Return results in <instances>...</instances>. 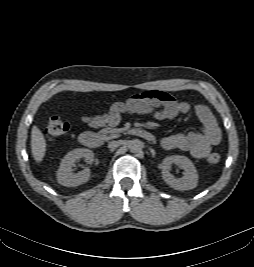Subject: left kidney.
<instances>
[{
	"label": "left kidney",
	"mask_w": 254,
	"mask_h": 267,
	"mask_svg": "<svg viewBox=\"0 0 254 267\" xmlns=\"http://www.w3.org/2000/svg\"><path fill=\"white\" fill-rule=\"evenodd\" d=\"M172 164L179 165L184 169V175L181 178H175L170 173V166ZM162 177L164 181L176 190H190L197 187L198 173L193 162L186 156L172 155L166 157L161 165Z\"/></svg>",
	"instance_id": "obj_1"
}]
</instances>
